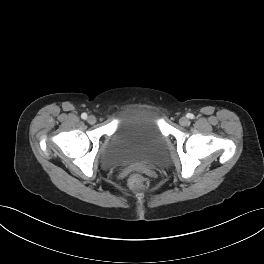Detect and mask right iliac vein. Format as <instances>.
Instances as JSON below:
<instances>
[{
  "mask_svg": "<svg viewBox=\"0 0 264 264\" xmlns=\"http://www.w3.org/2000/svg\"><path fill=\"white\" fill-rule=\"evenodd\" d=\"M89 124H95L96 123V117L93 115H90L87 119Z\"/></svg>",
  "mask_w": 264,
  "mask_h": 264,
  "instance_id": "63e3f726",
  "label": "right iliac vein"
}]
</instances>
